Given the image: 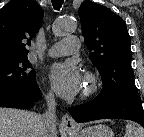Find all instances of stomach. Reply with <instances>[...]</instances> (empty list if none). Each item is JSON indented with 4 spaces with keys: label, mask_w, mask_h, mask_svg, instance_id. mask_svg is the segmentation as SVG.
<instances>
[{
    "label": "stomach",
    "mask_w": 144,
    "mask_h": 137,
    "mask_svg": "<svg viewBox=\"0 0 144 137\" xmlns=\"http://www.w3.org/2000/svg\"><path fill=\"white\" fill-rule=\"evenodd\" d=\"M74 137H114L113 131L104 124H97L69 132Z\"/></svg>",
    "instance_id": "obj_1"
}]
</instances>
